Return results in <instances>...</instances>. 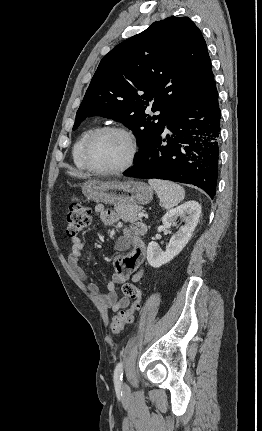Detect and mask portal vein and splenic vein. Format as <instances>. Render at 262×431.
<instances>
[{"instance_id":"1","label":"portal vein and splenic vein","mask_w":262,"mask_h":431,"mask_svg":"<svg viewBox=\"0 0 262 431\" xmlns=\"http://www.w3.org/2000/svg\"><path fill=\"white\" fill-rule=\"evenodd\" d=\"M145 216V214L143 213V212H140L139 214H138V217L139 218H142V217H144Z\"/></svg>"}]
</instances>
